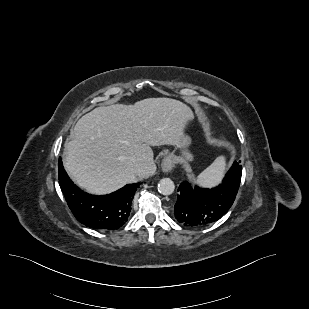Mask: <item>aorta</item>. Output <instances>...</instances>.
Listing matches in <instances>:
<instances>
[{
  "mask_svg": "<svg viewBox=\"0 0 309 309\" xmlns=\"http://www.w3.org/2000/svg\"><path fill=\"white\" fill-rule=\"evenodd\" d=\"M175 185L170 178H163L159 181L158 191L162 195H171L174 192Z\"/></svg>",
  "mask_w": 309,
  "mask_h": 309,
  "instance_id": "1",
  "label": "aorta"
}]
</instances>
